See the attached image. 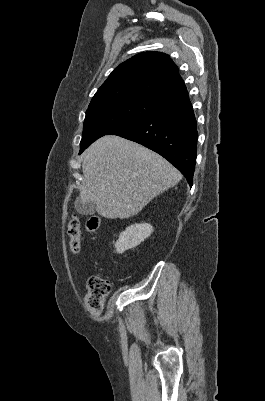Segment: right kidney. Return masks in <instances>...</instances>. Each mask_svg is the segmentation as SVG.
Segmentation results:
<instances>
[{"label": "right kidney", "instance_id": "1", "mask_svg": "<svg viewBox=\"0 0 265 401\" xmlns=\"http://www.w3.org/2000/svg\"><path fill=\"white\" fill-rule=\"evenodd\" d=\"M153 231L154 229L152 225H149V223H141V225L136 223V225H130V227H127L123 233H120L118 241L114 243L117 253H124L127 249L137 247V245H140L144 239L150 237Z\"/></svg>", "mask_w": 265, "mask_h": 401}]
</instances>
